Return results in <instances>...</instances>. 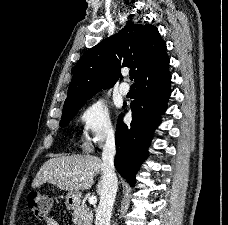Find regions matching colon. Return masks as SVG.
<instances>
[{
    "label": "colon",
    "mask_w": 228,
    "mask_h": 225,
    "mask_svg": "<svg viewBox=\"0 0 228 225\" xmlns=\"http://www.w3.org/2000/svg\"><path fill=\"white\" fill-rule=\"evenodd\" d=\"M30 210L38 219H44L52 208L50 197L46 194L33 192L27 196Z\"/></svg>",
    "instance_id": "obj_1"
}]
</instances>
